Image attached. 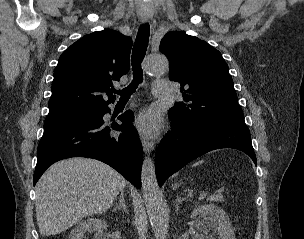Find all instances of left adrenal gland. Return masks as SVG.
Masks as SVG:
<instances>
[{"mask_svg": "<svg viewBox=\"0 0 304 239\" xmlns=\"http://www.w3.org/2000/svg\"><path fill=\"white\" fill-rule=\"evenodd\" d=\"M184 200H186V198L177 195V197H176V206H175V207H176V211H178L179 205H180Z\"/></svg>", "mask_w": 304, "mask_h": 239, "instance_id": "obj_1", "label": "left adrenal gland"}]
</instances>
